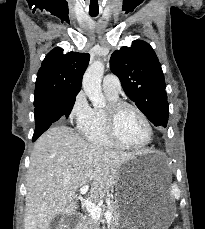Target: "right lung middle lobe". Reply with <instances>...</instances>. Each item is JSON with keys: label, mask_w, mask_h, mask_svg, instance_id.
<instances>
[{"label": "right lung middle lobe", "mask_w": 205, "mask_h": 229, "mask_svg": "<svg viewBox=\"0 0 205 229\" xmlns=\"http://www.w3.org/2000/svg\"><path fill=\"white\" fill-rule=\"evenodd\" d=\"M75 97L76 95H71V96H68L67 99L70 100L71 102H75ZM54 100L53 98H45V99H40L38 101H34V106L35 107H38L46 102H49V101H52Z\"/></svg>", "instance_id": "right-lung-middle-lobe-1"}]
</instances>
